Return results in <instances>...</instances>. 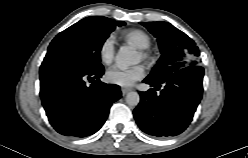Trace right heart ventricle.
<instances>
[{
	"label": "right heart ventricle",
	"instance_id": "obj_1",
	"mask_svg": "<svg viewBox=\"0 0 248 158\" xmlns=\"http://www.w3.org/2000/svg\"><path fill=\"white\" fill-rule=\"evenodd\" d=\"M122 37L139 49L148 48L151 43L149 35L139 29H131L124 31L122 33Z\"/></svg>",
	"mask_w": 248,
	"mask_h": 158
}]
</instances>
